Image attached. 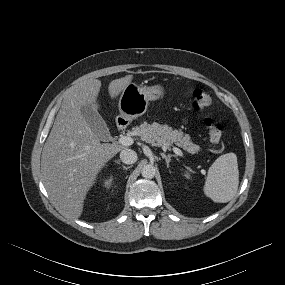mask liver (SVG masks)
Segmentation results:
<instances>
[{"label": "liver", "mask_w": 285, "mask_h": 285, "mask_svg": "<svg viewBox=\"0 0 285 285\" xmlns=\"http://www.w3.org/2000/svg\"><path fill=\"white\" fill-rule=\"evenodd\" d=\"M132 79L128 75L111 81L110 97L116 98ZM100 89L101 81L91 78L68 91L42 151L45 188L62 214L73 219L81 216L86 195L102 168L126 149L117 144H101L82 115L83 106L97 111Z\"/></svg>", "instance_id": "6515ba94"}]
</instances>
